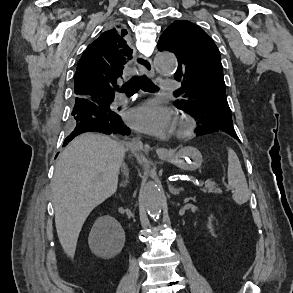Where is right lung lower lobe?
<instances>
[{
  "label": "right lung lower lobe",
  "instance_id": "98d812e1",
  "mask_svg": "<svg viewBox=\"0 0 293 293\" xmlns=\"http://www.w3.org/2000/svg\"><path fill=\"white\" fill-rule=\"evenodd\" d=\"M110 100L109 103L112 102ZM96 98L75 100L72 116L74 118V130L65 139L66 146L74 137L84 132H103L107 134L120 133L129 134L130 130L123 125L120 116L110 109L101 108L102 104Z\"/></svg>",
  "mask_w": 293,
  "mask_h": 293
}]
</instances>
